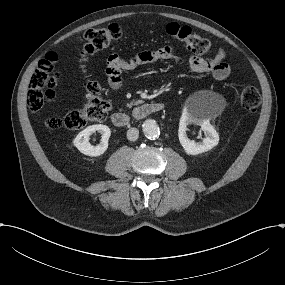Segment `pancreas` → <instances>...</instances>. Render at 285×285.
<instances>
[{
  "label": "pancreas",
  "instance_id": "1",
  "mask_svg": "<svg viewBox=\"0 0 285 285\" xmlns=\"http://www.w3.org/2000/svg\"><path fill=\"white\" fill-rule=\"evenodd\" d=\"M140 103H142V101H135V100H133V101H131L129 104H127V106H128L129 108H131L133 105H138V104H140Z\"/></svg>",
  "mask_w": 285,
  "mask_h": 285
}]
</instances>
